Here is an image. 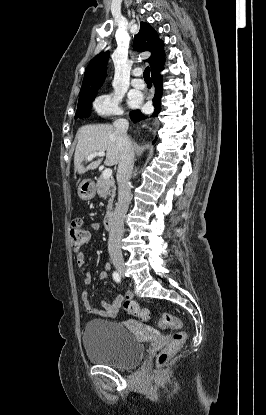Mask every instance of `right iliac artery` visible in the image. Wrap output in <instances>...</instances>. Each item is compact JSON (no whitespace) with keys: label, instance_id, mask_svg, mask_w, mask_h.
<instances>
[{"label":"right iliac artery","instance_id":"1","mask_svg":"<svg viewBox=\"0 0 266 415\" xmlns=\"http://www.w3.org/2000/svg\"><path fill=\"white\" fill-rule=\"evenodd\" d=\"M112 276H113V279H114L115 282L119 283L121 281V277H120L119 273L113 272Z\"/></svg>","mask_w":266,"mask_h":415}]
</instances>
